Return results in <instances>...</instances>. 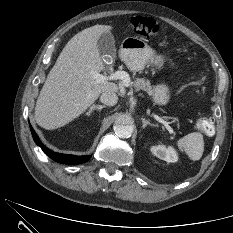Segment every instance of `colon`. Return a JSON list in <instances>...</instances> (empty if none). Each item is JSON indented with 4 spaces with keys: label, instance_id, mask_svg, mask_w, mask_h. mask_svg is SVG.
Segmentation results:
<instances>
[{
    "label": "colon",
    "instance_id": "colon-1",
    "mask_svg": "<svg viewBox=\"0 0 233 233\" xmlns=\"http://www.w3.org/2000/svg\"><path fill=\"white\" fill-rule=\"evenodd\" d=\"M133 32L142 37H150L158 33V23L148 17L135 16L129 20ZM197 129L206 134L212 135L215 131L214 120L210 116H201L196 123Z\"/></svg>",
    "mask_w": 233,
    "mask_h": 233
}]
</instances>
